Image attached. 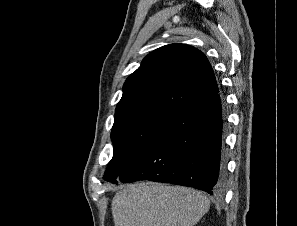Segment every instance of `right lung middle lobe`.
<instances>
[{
  "instance_id": "right-lung-middle-lobe-1",
  "label": "right lung middle lobe",
  "mask_w": 297,
  "mask_h": 226,
  "mask_svg": "<svg viewBox=\"0 0 297 226\" xmlns=\"http://www.w3.org/2000/svg\"><path fill=\"white\" fill-rule=\"evenodd\" d=\"M171 116L148 114L114 123L111 132L114 154L104 179L116 182L119 176L137 161Z\"/></svg>"
}]
</instances>
